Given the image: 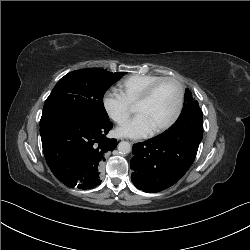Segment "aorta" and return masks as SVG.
Returning <instances> with one entry per match:
<instances>
[{
	"label": "aorta",
	"instance_id": "aorta-1",
	"mask_svg": "<svg viewBox=\"0 0 250 250\" xmlns=\"http://www.w3.org/2000/svg\"><path fill=\"white\" fill-rule=\"evenodd\" d=\"M118 150L121 154H128L131 152V144L126 141H121L118 144Z\"/></svg>",
	"mask_w": 250,
	"mask_h": 250
}]
</instances>
